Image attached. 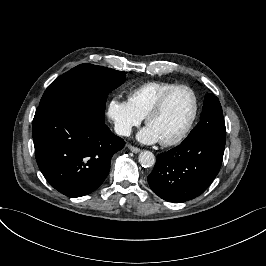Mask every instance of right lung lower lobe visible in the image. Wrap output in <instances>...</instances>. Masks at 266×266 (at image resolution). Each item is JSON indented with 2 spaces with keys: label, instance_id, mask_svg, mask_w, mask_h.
<instances>
[{
  "label": "right lung lower lobe",
  "instance_id": "98d812e1",
  "mask_svg": "<svg viewBox=\"0 0 266 266\" xmlns=\"http://www.w3.org/2000/svg\"><path fill=\"white\" fill-rule=\"evenodd\" d=\"M32 134L41 172L68 197L97 189L110 171L111 157L125 145L92 103L71 96L54 97L39 105Z\"/></svg>",
  "mask_w": 266,
  "mask_h": 266
}]
</instances>
